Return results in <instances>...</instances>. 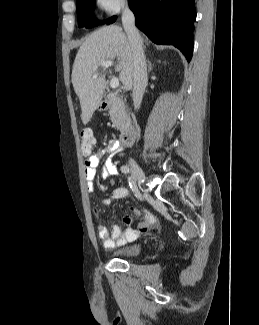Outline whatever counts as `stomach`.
Listing matches in <instances>:
<instances>
[{"mask_svg":"<svg viewBox=\"0 0 259 325\" xmlns=\"http://www.w3.org/2000/svg\"><path fill=\"white\" fill-rule=\"evenodd\" d=\"M99 110H105V107H103L102 104L99 105Z\"/></svg>","mask_w":259,"mask_h":325,"instance_id":"obj_1","label":"stomach"}]
</instances>
